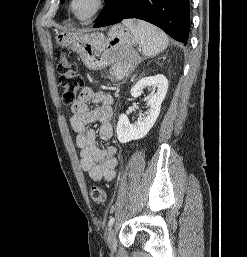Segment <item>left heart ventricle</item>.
Segmentation results:
<instances>
[{"label":"left heart ventricle","mask_w":247,"mask_h":257,"mask_svg":"<svg viewBox=\"0 0 247 257\" xmlns=\"http://www.w3.org/2000/svg\"><path fill=\"white\" fill-rule=\"evenodd\" d=\"M93 6L94 0H76L74 9L79 16L84 17L90 13Z\"/></svg>","instance_id":"1"}]
</instances>
